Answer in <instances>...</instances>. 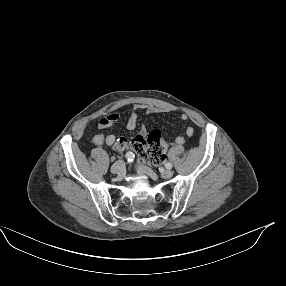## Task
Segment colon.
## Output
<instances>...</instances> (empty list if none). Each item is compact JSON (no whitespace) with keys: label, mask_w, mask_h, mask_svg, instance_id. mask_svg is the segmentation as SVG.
Listing matches in <instances>:
<instances>
[{"label":"colon","mask_w":286,"mask_h":286,"mask_svg":"<svg viewBox=\"0 0 286 286\" xmlns=\"http://www.w3.org/2000/svg\"><path fill=\"white\" fill-rule=\"evenodd\" d=\"M163 141L161 130L154 127L146 136L138 135L132 140L119 138L116 140L114 147L117 150L130 147L142 162L154 164L162 160L165 156Z\"/></svg>","instance_id":"colon-1"}]
</instances>
